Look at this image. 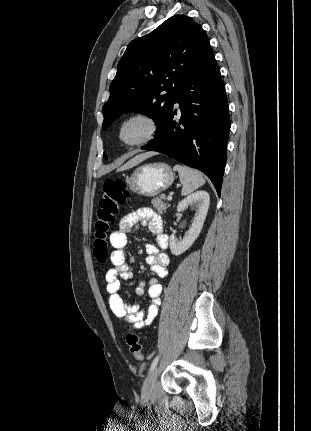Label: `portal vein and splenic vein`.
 I'll list each match as a JSON object with an SVG mask.
<instances>
[{"instance_id": "obj_1", "label": "portal vein and splenic vein", "mask_w": 311, "mask_h": 431, "mask_svg": "<svg viewBox=\"0 0 311 431\" xmlns=\"http://www.w3.org/2000/svg\"><path fill=\"white\" fill-rule=\"evenodd\" d=\"M167 200L170 202V200H172V196H167Z\"/></svg>"}]
</instances>
